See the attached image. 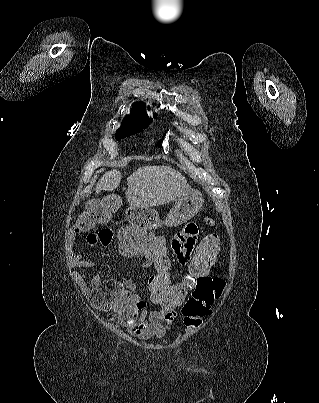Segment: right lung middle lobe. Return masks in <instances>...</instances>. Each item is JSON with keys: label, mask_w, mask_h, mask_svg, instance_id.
<instances>
[{"label": "right lung middle lobe", "mask_w": 319, "mask_h": 403, "mask_svg": "<svg viewBox=\"0 0 319 403\" xmlns=\"http://www.w3.org/2000/svg\"><path fill=\"white\" fill-rule=\"evenodd\" d=\"M151 122V119L145 120L143 122H135L132 120L124 119L121 127L116 131V139L119 140L125 137H129L131 134L143 131V128H146Z\"/></svg>", "instance_id": "right-lung-middle-lobe-1"}]
</instances>
